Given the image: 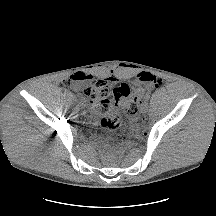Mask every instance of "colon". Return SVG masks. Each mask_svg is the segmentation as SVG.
<instances>
[{
    "instance_id": "1",
    "label": "colon",
    "mask_w": 216,
    "mask_h": 216,
    "mask_svg": "<svg viewBox=\"0 0 216 216\" xmlns=\"http://www.w3.org/2000/svg\"><path fill=\"white\" fill-rule=\"evenodd\" d=\"M146 86L153 85L159 87L162 84L160 78L143 73L140 76ZM86 84L82 88V94L93 103L98 110L105 112V116L101 120V127L108 132H118L121 128V110L120 107L127 108L129 114L137 113L140 104L147 97L145 88H137L133 91L125 85L111 88L108 79L91 77L86 79ZM110 97L114 102L116 109L107 112L110 104Z\"/></svg>"
}]
</instances>
